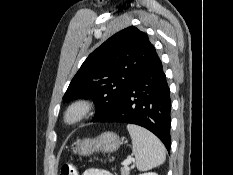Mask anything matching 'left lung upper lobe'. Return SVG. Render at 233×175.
I'll list each match as a JSON object with an SVG mask.
<instances>
[{
	"label": "left lung upper lobe",
	"mask_w": 233,
	"mask_h": 175,
	"mask_svg": "<svg viewBox=\"0 0 233 175\" xmlns=\"http://www.w3.org/2000/svg\"><path fill=\"white\" fill-rule=\"evenodd\" d=\"M155 52L148 36L136 27L117 32L84 61L64 94V102L93 99L97 106L93 122H98L115 108Z\"/></svg>",
	"instance_id": "obj_1"
}]
</instances>
